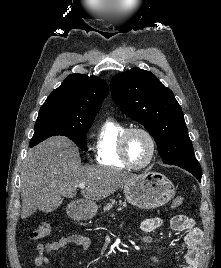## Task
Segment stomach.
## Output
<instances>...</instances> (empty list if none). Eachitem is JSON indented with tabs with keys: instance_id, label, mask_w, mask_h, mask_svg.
Instances as JSON below:
<instances>
[{
	"instance_id": "0dacf381",
	"label": "stomach",
	"mask_w": 221,
	"mask_h": 268,
	"mask_svg": "<svg viewBox=\"0 0 221 268\" xmlns=\"http://www.w3.org/2000/svg\"><path fill=\"white\" fill-rule=\"evenodd\" d=\"M126 200L142 209H154L167 204L175 195L173 183L163 174L145 172L134 175L123 187ZM93 201L81 200L71 204L67 213L78 220H88L97 213Z\"/></svg>"
}]
</instances>
